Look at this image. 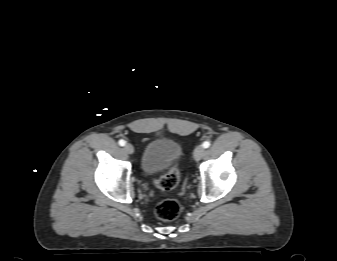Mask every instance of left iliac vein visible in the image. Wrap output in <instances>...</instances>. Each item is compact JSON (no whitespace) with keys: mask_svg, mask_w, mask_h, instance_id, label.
Wrapping results in <instances>:
<instances>
[{"mask_svg":"<svg viewBox=\"0 0 337 261\" xmlns=\"http://www.w3.org/2000/svg\"><path fill=\"white\" fill-rule=\"evenodd\" d=\"M204 153H205L204 148H203L201 145L197 146V147L195 148L194 154H193L194 159H195L196 161H199V160L203 157Z\"/></svg>","mask_w":337,"mask_h":261,"instance_id":"left-iliac-vein-1","label":"left iliac vein"}]
</instances>
